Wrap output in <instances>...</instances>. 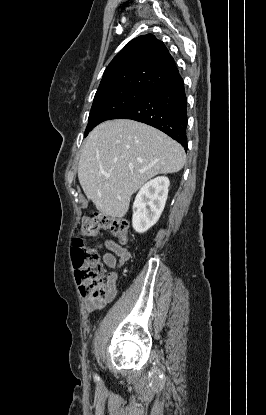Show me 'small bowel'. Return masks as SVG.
I'll list each match as a JSON object with an SVG mask.
<instances>
[{"label": "small bowel", "mask_w": 266, "mask_h": 415, "mask_svg": "<svg viewBox=\"0 0 266 415\" xmlns=\"http://www.w3.org/2000/svg\"><path fill=\"white\" fill-rule=\"evenodd\" d=\"M99 246L109 250L114 253L115 256L111 253H105L103 255L104 263L111 268L113 271L107 274V281L110 286L111 292L108 298L105 300H95L89 294H83L84 297V306L87 311L94 312L96 310L103 309L108 303L112 302L116 296V281L117 273L116 269L123 266L131 257V252L127 246L121 245L114 240L105 239Z\"/></svg>", "instance_id": "1"}]
</instances>
